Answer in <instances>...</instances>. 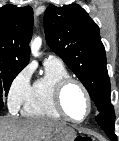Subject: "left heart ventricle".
Masks as SVG:
<instances>
[{"mask_svg":"<svg viewBox=\"0 0 119 141\" xmlns=\"http://www.w3.org/2000/svg\"><path fill=\"white\" fill-rule=\"evenodd\" d=\"M63 106L73 119L81 120L87 112V101L82 90L75 84L67 87L63 95Z\"/></svg>","mask_w":119,"mask_h":141,"instance_id":"b2bd125f","label":"left heart ventricle"}]
</instances>
